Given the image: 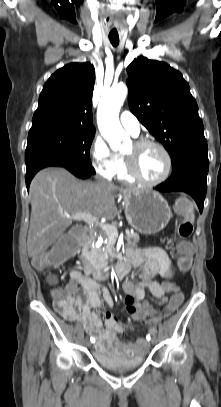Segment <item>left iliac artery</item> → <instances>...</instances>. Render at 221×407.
<instances>
[{"mask_svg": "<svg viewBox=\"0 0 221 407\" xmlns=\"http://www.w3.org/2000/svg\"><path fill=\"white\" fill-rule=\"evenodd\" d=\"M156 333V331L154 329H152L151 334L154 335ZM150 335L147 336V339L150 340Z\"/></svg>", "mask_w": 221, "mask_h": 407, "instance_id": "obj_1", "label": "left iliac artery"}]
</instances>
